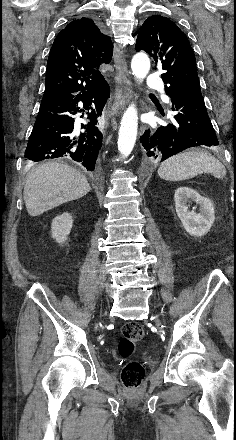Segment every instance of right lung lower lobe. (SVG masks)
<instances>
[{
    "instance_id": "right-lung-lower-lobe-1",
    "label": "right lung lower lobe",
    "mask_w": 236,
    "mask_h": 440,
    "mask_svg": "<svg viewBox=\"0 0 236 440\" xmlns=\"http://www.w3.org/2000/svg\"><path fill=\"white\" fill-rule=\"evenodd\" d=\"M109 96V85L104 81L93 90L43 98L25 158L33 162L62 158L79 163L95 173L102 145V133L95 125ZM83 112L88 117L80 123L76 115Z\"/></svg>"
}]
</instances>
